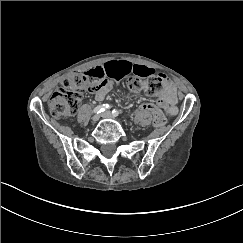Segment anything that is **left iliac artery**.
Instances as JSON below:
<instances>
[{"label": "left iliac artery", "instance_id": "obj_1", "mask_svg": "<svg viewBox=\"0 0 243 243\" xmlns=\"http://www.w3.org/2000/svg\"><path fill=\"white\" fill-rule=\"evenodd\" d=\"M112 114H113L114 116H118V115L120 114V111L114 109V110L112 111Z\"/></svg>", "mask_w": 243, "mask_h": 243}]
</instances>
